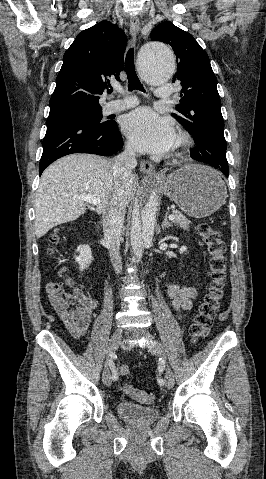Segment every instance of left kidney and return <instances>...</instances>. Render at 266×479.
<instances>
[{
    "instance_id": "obj_1",
    "label": "left kidney",
    "mask_w": 266,
    "mask_h": 479,
    "mask_svg": "<svg viewBox=\"0 0 266 479\" xmlns=\"http://www.w3.org/2000/svg\"><path fill=\"white\" fill-rule=\"evenodd\" d=\"M186 251H187V247H186V246H182V247L180 248V253H181V254L185 253Z\"/></svg>"
}]
</instances>
